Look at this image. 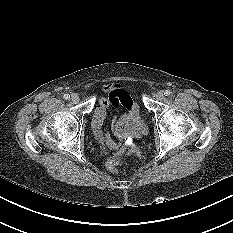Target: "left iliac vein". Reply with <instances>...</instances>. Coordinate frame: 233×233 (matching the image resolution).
Here are the masks:
<instances>
[{"label": "left iliac vein", "mask_w": 233, "mask_h": 233, "mask_svg": "<svg viewBox=\"0 0 233 233\" xmlns=\"http://www.w3.org/2000/svg\"><path fill=\"white\" fill-rule=\"evenodd\" d=\"M155 97L156 99L158 100H162L164 98V92L163 91H158L156 94H155Z\"/></svg>", "instance_id": "left-iliac-vein-1"}]
</instances>
